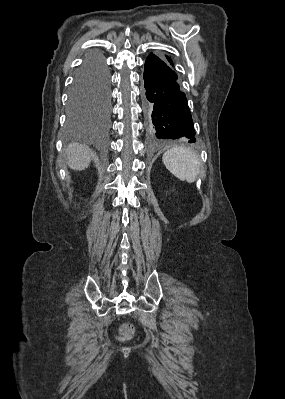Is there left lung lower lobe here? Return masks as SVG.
<instances>
[{
  "instance_id": "0a47b994",
  "label": "left lung lower lobe",
  "mask_w": 285,
  "mask_h": 399,
  "mask_svg": "<svg viewBox=\"0 0 285 399\" xmlns=\"http://www.w3.org/2000/svg\"><path fill=\"white\" fill-rule=\"evenodd\" d=\"M144 108L152 140L188 139L195 131L185 93L180 90L173 63L150 53L144 67Z\"/></svg>"
}]
</instances>
